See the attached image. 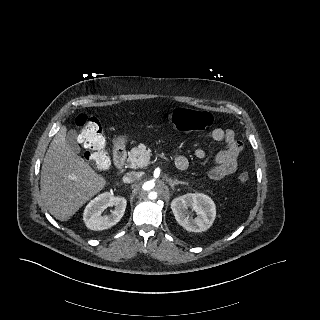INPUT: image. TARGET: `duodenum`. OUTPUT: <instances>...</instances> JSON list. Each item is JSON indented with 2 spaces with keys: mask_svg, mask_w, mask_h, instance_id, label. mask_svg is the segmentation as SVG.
<instances>
[{
  "mask_svg": "<svg viewBox=\"0 0 320 320\" xmlns=\"http://www.w3.org/2000/svg\"><path fill=\"white\" fill-rule=\"evenodd\" d=\"M114 164L118 169H122L126 162V150L124 146L118 145L113 153ZM183 170L184 168H180Z\"/></svg>",
  "mask_w": 320,
  "mask_h": 320,
  "instance_id": "1",
  "label": "duodenum"
}]
</instances>
